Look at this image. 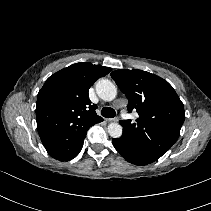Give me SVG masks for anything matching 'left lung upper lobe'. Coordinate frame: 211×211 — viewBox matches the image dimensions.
<instances>
[{"label":"left lung upper lobe","mask_w":211,"mask_h":211,"mask_svg":"<svg viewBox=\"0 0 211 211\" xmlns=\"http://www.w3.org/2000/svg\"><path fill=\"white\" fill-rule=\"evenodd\" d=\"M127 97L129 112L136 110V123L119 121L123 132L148 154L160 158L177 141L185 119L184 106L172 86L159 76L119 69L111 73Z\"/></svg>","instance_id":"5c2ea615"}]
</instances>
